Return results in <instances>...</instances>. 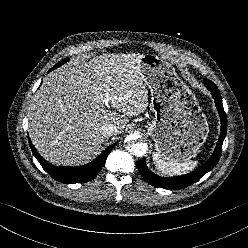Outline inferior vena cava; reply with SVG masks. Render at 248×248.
<instances>
[{
    "instance_id": "602c4592",
    "label": "inferior vena cava",
    "mask_w": 248,
    "mask_h": 248,
    "mask_svg": "<svg viewBox=\"0 0 248 248\" xmlns=\"http://www.w3.org/2000/svg\"><path fill=\"white\" fill-rule=\"evenodd\" d=\"M102 131L107 135H116L118 133V127L113 124H105L102 126Z\"/></svg>"
}]
</instances>
